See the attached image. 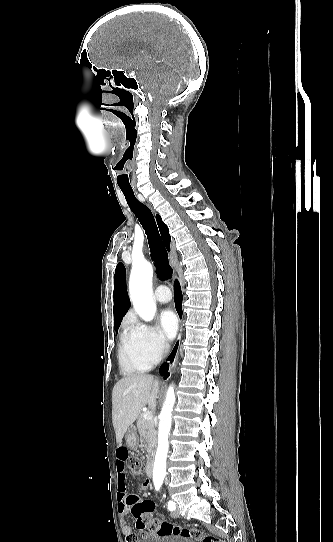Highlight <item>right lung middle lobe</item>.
Masks as SVG:
<instances>
[{"instance_id": "1", "label": "right lung middle lobe", "mask_w": 333, "mask_h": 542, "mask_svg": "<svg viewBox=\"0 0 333 542\" xmlns=\"http://www.w3.org/2000/svg\"><path fill=\"white\" fill-rule=\"evenodd\" d=\"M119 326L115 327V330L118 331Z\"/></svg>"}]
</instances>
